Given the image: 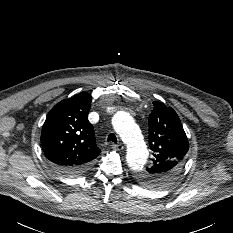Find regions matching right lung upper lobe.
Listing matches in <instances>:
<instances>
[{
  "label": "right lung upper lobe",
  "mask_w": 233,
  "mask_h": 233,
  "mask_svg": "<svg viewBox=\"0 0 233 233\" xmlns=\"http://www.w3.org/2000/svg\"><path fill=\"white\" fill-rule=\"evenodd\" d=\"M91 96L82 92L62 100L49 112L41 132V145L48 160L68 172L90 165L100 149L88 121Z\"/></svg>",
  "instance_id": "right-lung-upper-lobe-1"
}]
</instances>
